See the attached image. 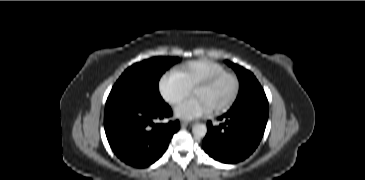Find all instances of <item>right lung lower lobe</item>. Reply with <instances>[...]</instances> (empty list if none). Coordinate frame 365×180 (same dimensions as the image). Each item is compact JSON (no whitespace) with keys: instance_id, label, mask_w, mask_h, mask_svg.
<instances>
[{"instance_id":"98d812e1","label":"right lung lower lobe","mask_w":365,"mask_h":180,"mask_svg":"<svg viewBox=\"0 0 365 180\" xmlns=\"http://www.w3.org/2000/svg\"><path fill=\"white\" fill-rule=\"evenodd\" d=\"M164 101H132L105 108L104 129L116 156L128 165L147 167L166 151L178 120ZM163 120H167L163 122Z\"/></svg>"}]
</instances>
